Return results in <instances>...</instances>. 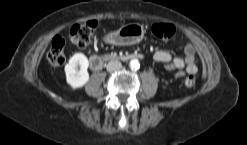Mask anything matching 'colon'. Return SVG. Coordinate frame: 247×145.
Returning <instances> with one entry per match:
<instances>
[{
  "label": "colon",
  "mask_w": 247,
  "mask_h": 145,
  "mask_svg": "<svg viewBox=\"0 0 247 145\" xmlns=\"http://www.w3.org/2000/svg\"><path fill=\"white\" fill-rule=\"evenodd\" d=\"M96 22L86 21L77 24L72 27L70 31L71 41L78 47H86L95 32ZM153 34L161 40H169L175 34V27L169 23H159L152 27ZM47 59L49 63L55 66L64 64L66 60L65 56V41L61 36H56L52 40L51 46L47 53ZM181 72L177 73V76H182ZM196 83V77L194 74L186 75L184 84L187 87H192Z\"/></svg>",
  "instance_id": "obj_1"
}]
</instances>
